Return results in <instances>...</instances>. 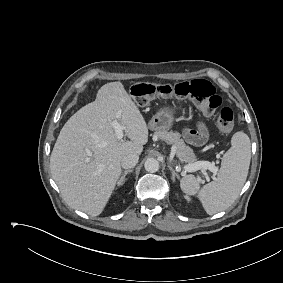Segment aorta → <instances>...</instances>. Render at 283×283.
<instances>
[{
  "label": "aorta",
  "instance_id": "obj_1",
  "mask_svg": "<svg viewBox=\"0 0 283 283\" xmlns=\"http://www.w3.org/2000/svg\"><path fill=\"white\" fill-rule=\"evenodd\" d=\"M147 172L154 173L159 170V162L155 158H148L144 163Z\"/></svg>",
  "mask_w": 283,
  "mask_h": 283
}]
</instances>
